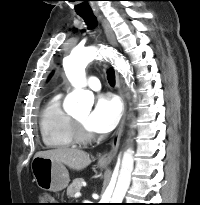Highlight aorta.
Returning <instances> with one entry per match:
<instances>
[{
	"instance_id": "aorta-1",
	"label": "aorta",
	"mask_w": 200,
	"mask_h": 205,
	"mask_svg": "<svg viewBox=\"0 0 200 205\" xmlns=\"http://www.w3.org/2000/svg\"><path fill=\"white\" fill-rule=\"evenodd\" d=\"M111 52L108 49H98L94 46L76 47L70 55L63 61L64 70L67 78L75 87V90L69 96V104L73 111L89 113L94 102V96L91 92L84 90L86 86L85 68L96 58L106 57ZM115 68L123 74L132 76L130 65L123 57L115 60ZM134 151L128 149L122 158L121 169L118 175L117 183L112 194L105 193L100 203L120 204L129 188L131 182V173L134 167Z\"/></svg>"
}]
</instances>
